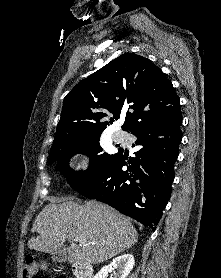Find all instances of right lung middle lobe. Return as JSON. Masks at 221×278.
Masks as SVG:
<instances>
[{
	"label": "right lung middle lobe",
	"instance_id": "obj_1",
	"mask_svg": "<svg viewBox=\"0 0 221 278\" xmlns=\"http://www.w3.org/2000/svg\"><path fill=\"white\" fill-rule=\"evenodd\" d=\"M100 135L89 136L81 141L62 145L50 150L48 163L58 161L56 170L64 175L75 190L92 182L113 161L116 154L102 152L99 144ZM76 153H82L90 157V166L86 172H74L68 167V160Z\"/></svg>",
	"mask_w": 221,
	"mask_h": 278
}]
</instances>
